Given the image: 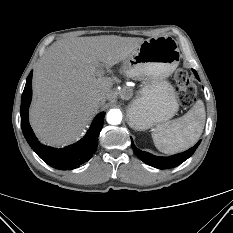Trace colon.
Here are the masks:
<instances>
[{"mask_svg": "<svg viewBox=\"0 0 233 233\" xmlns=\"http://www.w3.org/2000/svg\"><path fill=\"white\" fill-rule=\"evenodd\" d=\"M174 81L177 85L179 102L185 107L192 105L195 100L196 91L194 86L189 82L187 71L178 69L174 74Z\"/></svg>", "mask_w": 233, "mask_h": 233, "instance_id": "5ec220e1", "label": "colon"}]
</instances>
